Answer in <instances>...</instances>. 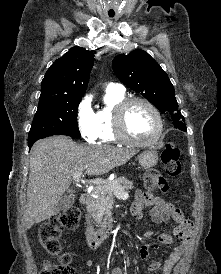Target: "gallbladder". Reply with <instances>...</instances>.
I'll use <instances>...</instances> for the list:
<instances>
[{"label": "gallbladder", "mask_w": 221, "mask_h": 274, "mask_svg": "<svg viewBox=\"0 0 221 274\" xmlns=\"http://www.w3.org/2000/svg\"><path fill=\"white\" fill-rule=\"evenodd\" d=\"M74 202L75 199L71 194H65L61 197L55 207L58 208L60 211L66 210L70 208L74 204Z\"/></svg>", "instance_id": "1"}]
</instances>
